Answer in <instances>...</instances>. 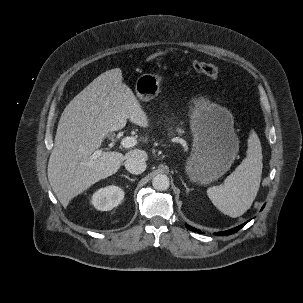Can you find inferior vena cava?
Wrapping results in <instances>:
<instances>
[{"label": "inferior vena cava", "instance_id": "obj_1", "mask_svg": "<svg viewBox=\"0 0 303 303\" xmlns=\"http://www.w3.org/2000/svg\"><path fill=\"white\" fill-rule=\"evenodd\" d=\"M124 164L126 170L132 174H141L146 169V162L142 157H131Z\"/></svg>", "mask_w": 303, "mask_h": 303}]
</instances>
